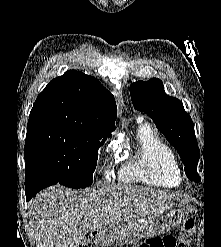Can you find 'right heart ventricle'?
<instances>
[{"instance_id": "e07e8e85", "label": "right heart ventricle", "mask_w": 221, "mask_h": 247, "mask_svg": "<svg viewBox=\"0 0 221 247\" xmlns=\"http://www.w3.org/2000/svg\"><path fill=\"white\" fill-rule=\"evenodd\" d=\"M124 183L173 188L182 183L180 166L171 147L147 123L136 134V152L119 170Z\"/></svg>"}]
</instances>
